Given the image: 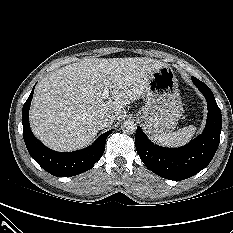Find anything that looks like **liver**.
<instances>
[{"label":"liver","mask_w":233,"mask_h":233,"mask_svg":"<svg viewBox=\"0 0 233 233\" xmlns=\"http://www.w3.org/2000/svg\"><path fill=\"white\" fill-rule=\"evenodd\" d=\"M166 66L151 58H85L44 77L30 110L32 130L46 146L73 151L93 142L100 115L123 118V107L146 96L154 71ZM112 100L105 101L104 81Z\"/></svg>","instance_id":"6515ba94"}]
</instances>
